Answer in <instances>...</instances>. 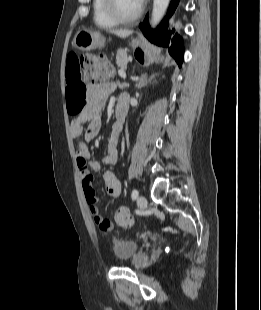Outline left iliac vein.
I'll list each match as a JSON object with an SVG mask.
<instances>
[{
  "mask_svg": "<svg viewBox=\"0 0 261 310\" xmlns=\"http://www.w3.org/2000/svg\"><path fill=\"white\" fill-rule=\"evenodd\" d=\"M137 205L141 210L145 209L147 207V199L144 196L140 195L137 198Z\"/></svg>",
  "mask_w": 261,
  "mask_h": 310,
  "instance_id": "1",
  "label": "left iliac vein"
}]
</instances>
